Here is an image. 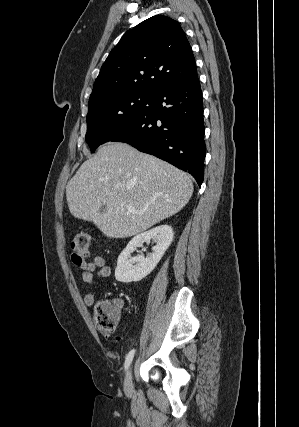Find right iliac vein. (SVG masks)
<instances>
[{
    "mask_svg": "<svg viewBox=\"0 0 299 427\" xmlns=\"http://www.w3.org/2000/svg\"><path fill=\"white\" fill-rule=\"evenodd\" d=\"M133 389V376H132V368L127 371L125 380H124V390L126 392H130Z\"/></svg>",
    "mask_w": 299,
    "mask_h": 427,
    "instance_id": "right-iliac-vein-1",
    "label": "right iliac vein"
}]
</instances>
